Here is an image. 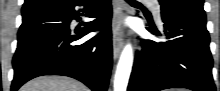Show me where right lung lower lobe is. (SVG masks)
Masks as SVG:
<instances>
[{
    "mask_svg": "<svg viewBox=\"0 0 220 91\" xmlns=\"http://www.w3.org/2000/svg\"><path fill=\"white\" fill-rule=\"evenodd\" d=\"M98 3L95 10L94 5ZM76 6L83 9L77 10ZM96 18L83 28L71 26L83 13ZM111 0H62L22 13L18 46L13 58L11 90L41 75H64L93 91H106L112 68ZM101 30L91 39L86 34Z\"/></svg>",
    "mask_w": 220,
    "mask_h": 91,
    "instance_id": "right-lung-lower-lobe-1",
    "label": "right lung lower lobe"
}]
</instances>
